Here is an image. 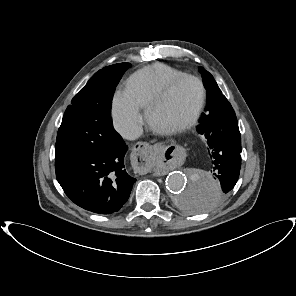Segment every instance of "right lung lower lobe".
Masks as SVG:
<instances>
[{
	"label": "right lung lower lobe",
	"mask_w": 296,
	"mask_h": 296,
	"mask_svg": "<svg viewBox=\"0 0 296 296\" xmlns=\"http://www.w3.org/2000/svg\"><path fill=\"white\" fill-rule=\"evenodd\" d=\"M124 141L112 149L87 152L55 162L56 178L69 199L97 214L118 212L136 179L124 165Z\"/></svg>",
	"instance_id": "obj_1"
}]
</instances>
